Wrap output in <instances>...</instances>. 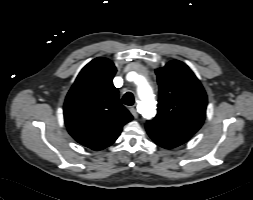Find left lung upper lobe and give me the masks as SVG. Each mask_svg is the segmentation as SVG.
<instances>
[{
  "label": "left lung upper lobe",
  "instance_id": "5c2ea615",
  "mask_svg": "<svg viewBox=\"0 0 253 200\" xmlns=\"http://www.w3.org/2000/svg\"><path fill=\"white\" fill-rule=\"evenodd\" d=\"M159 84L158 111L146 124L195 134L206 115L207 96L200 81L181 61L173 60L156 69Z\"/></svg>",
  "mask_w": 253,
  "mask_h": 200
}]
</instances>
